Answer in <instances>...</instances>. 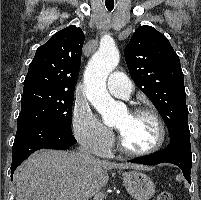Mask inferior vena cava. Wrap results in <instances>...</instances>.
<instances>
[{"label":"inferior vena cava","instance_id":"inferior-vena-cava-1","mask_svg":"<svg viewBox=\"0 0 201 200\" xmlns=\"http://www.w3.org/2000/svg\"><path fill=\"white\" fill-rule=\"evenodd\" d=\"M79 153L81 154V157L83 158H92L93 156L87 151V149L84 146H81L79 148Z\"/></svg>","mask_w":201,"mask_h":200}]
</instances>
